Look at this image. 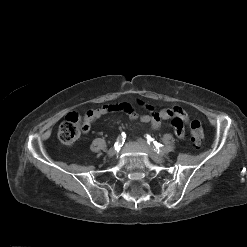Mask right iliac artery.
Instances as JSON below:
<instances>
[{"label":"right iliac artery","instance_id":"obj_1","mask_svg":"<svg viewBox=\"0 0 247 247\" xmlns=\"http://www.w3.org/2000/svg\"><path fill=\"white\" fill-rule=\"evenodd\" d=\"M125 142V133H122L118 136L116 142H115V149H119Z\"/></svg>","mask_w":247,"mask_h":247}]
</instances>
